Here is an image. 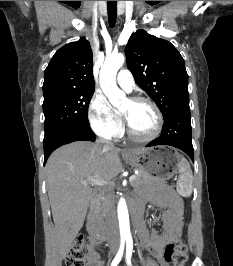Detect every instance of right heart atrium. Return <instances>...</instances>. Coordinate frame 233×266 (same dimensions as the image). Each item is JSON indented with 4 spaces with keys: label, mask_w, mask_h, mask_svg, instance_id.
<instances>
[{
    "label": "right heart atrium",
    "mask_w": 233,
    "mask_h": 266,
    "mask_svg": "<svg viewBox=\"0 0 233 266\" xmlns=\"http://www.w3.org/2000/svg\"><path fill=\"white\" fill-rule=\"evenodd\" d=\"M88 120L93 131L104 138H118L123 133L120 113L100 92H95L88 105Z\"/></svg>",
    "instance_id": "right-heart-atrium-1"
}]
</instances>
